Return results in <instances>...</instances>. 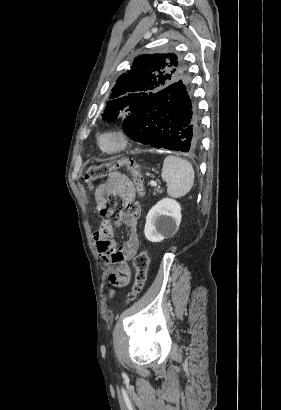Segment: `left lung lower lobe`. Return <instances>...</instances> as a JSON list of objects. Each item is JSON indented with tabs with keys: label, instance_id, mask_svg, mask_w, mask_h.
Segmentation results:
<instances>
[{
	"label": "left lung lower lobe",
	"instance_id": "obj_1",
	"mask_svg": "<svg viewBox=\"0 0 281 410\" xmlns=\"http://www.w3.org/2000/svg\"><path fill=\"white\" fill-rule=\"evenodd\" d=\"M124 131L136 142L155 148L194 152L201 126L189 81H177L154 94L146 107L127 116Z\"/></svg>",
	"mask_w": 281,
	"mask_h": 410
}]
</instances>
